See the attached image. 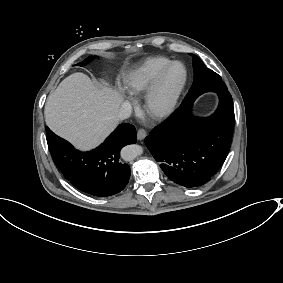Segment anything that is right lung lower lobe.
I'll return each instance as SVG.
<instances>
[{
  "instance_id": "obj_1",
  "label": "right lung lower lobe",
  "mask_w": 283,
  "mask_h": 283,
  "mask_svg": "<svg viewBox=\"0 0 283 283\" xmlns=\"http://www.w3.org/2000/svg\"><path fill=\"white\" fill-rule=\"evenodd\" d=\"M46 138L53 161L76 188L93 196H111L123 190L130 178V167L121 163L120 151L137 141L135 127L121 124L99 147L89 152L73 148L46 127Z\"/></svg>"
}]
</instances>
